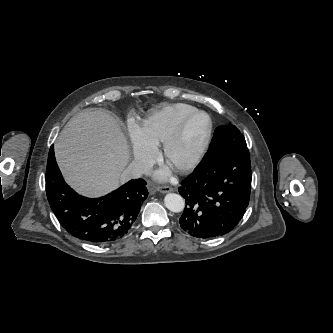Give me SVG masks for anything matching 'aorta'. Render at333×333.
<instances>
[{
  "label": "aorta",
  "instance_id": "1",
  "mask_svg": "<svg viewBox=\"0 0 333 333\" xmlns=\"http://www.w3.org/2000/svg\"><path fill=\"white\" fill-rule=\"evenodd\" d=\"M164 202L166 207L175 213L182 212L185 207L184 199L175 193H169L165 196Z\"/></svg>",
  "mask_w": 333,
  "mask_h": 333
}]
</instances>
